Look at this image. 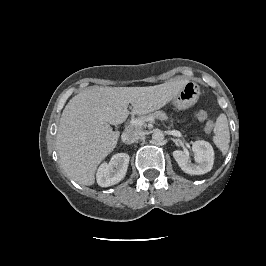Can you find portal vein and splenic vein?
Returning a JSON list of instances; mask_svg holds the SVG:
<instances>
[{
    "label": "portal vein and splenic vein",
    "instance_id": "18ae733b",
    "mask_svg": "<svg viewBox=\"0 0 266 266\" xmlns=\"http://www.w3.org/2000/svg\"><path fill=\"white\" fill-rule=\"evenodd\" d=\"M148 121H154V117H147V118H137V119H133L131 120V124L134 126H142L145 122Z\"/></svg>",
    "mask_w": 266,
    "mask_h": 266
}]
</instances>
